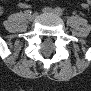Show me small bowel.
<instances>
[{
    "label": "small bowel",
    "mask_w": 91,
    "mask_h": 91,
    "mask_svg": "<svg viewBox=\"0 0 91 91\" xmlns=\"http://www.w3.org/2000/svg\"><path fill=\"white\" fill-rule=\"evenodd\" d=\"M88 6V3H83L82 7L86 8Z\"/></svg>",
    "instance_id": "small-bowel-1"
}]
</instances>
